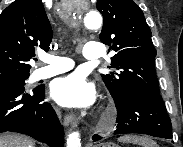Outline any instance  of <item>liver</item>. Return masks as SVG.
I'll list each match as a JSON object with an SVG mask.
<instances>
[{"label":"liver","instance_id":"1","mask_svg":"<svg viewBox=\"0 0 183 147\" xmlns=\"http://www.w3.org/2000/svg\"><path fill=\"white\" fill-rule=\"evenodd\" d=\"M0 147H35V142L22 135L18 134H1Z\"/></svg>","mask_w":183,"mask_h":147}]
</instances>
